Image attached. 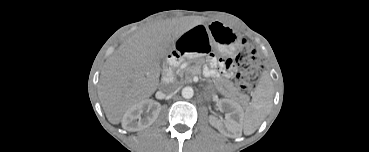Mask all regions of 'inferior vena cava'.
I'll list each match as a JSON object with an SVG mask.
<instances>
[{
    "instance_id": "1",
    "label": "inferior vena cava",
    "mask_w": 369,
    "mask_h": 152,
    "mask_svg": "<svg viewBox=\"0 0 369 152\" xmlns=\"http://www.w3.org/2000/svg\"><path fill=\"white\" fill-rule=\"evenodd\" d=\"M178 88V85L177 83L175 82H165L161 88H160V91L164 94H170V93H173L177 90Z\"/></svg>"
}]
</instances>
